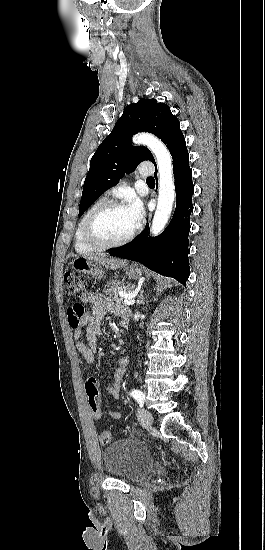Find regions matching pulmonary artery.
I'll list each match as a JSON object with an SVG mask.
<instances>
[{"instance_id": "e3ab8cb5", "label": "pulmonary artery", "mask_w": 265, "mask_h": 550, "mask_svg": "<svg viewBox=\"0 0 265 550\" xmlns=\"http://www.w3.org/2000/svg\"><path fill=\"white\" fill-rule=\"evenodd\" d=\"M139 172L142 176H147L149 174V170L145 168H140Z\"/></svg>"}]
</instances>
